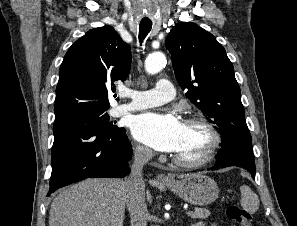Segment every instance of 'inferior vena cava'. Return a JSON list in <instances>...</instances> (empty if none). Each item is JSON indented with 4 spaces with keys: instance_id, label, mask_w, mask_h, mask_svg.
I'll list each match as a JSON object with an SVG mask.
<instances>
[{
    "instance_id": "inferior-vena-cava-1",
    "label": "inferior vena cava",
    "mask_w": 297,
    "mask_h": 226,
    "mask_svg": "<svg viewBox=\"0 0 297 226\" xmlns=\"http://www.w3.org/2000/svg\"><path fill=\"white\" fill-rule=\"evenodd\" d=\"M152 156V150L141 146L136 147L130 175L125 179V202L130 214L131 226H147L149 213L145 203L142 169Z\"/></svg>"
}]
</instances>
